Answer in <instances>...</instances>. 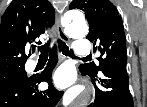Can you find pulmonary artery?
<instances>
[{"instance_id":"pulmonary-artery-1","label":"pulmonary artery","mask_w":147,"mask_h":107,"mask_svg":"<svg viewBox=\"0 0 147 107\" xmlns=\"http://www.w3.org/2000/svg\"><path fill=\"white\" fill-rule=\"evenodd\" d=\"M73 50L75 54L78 55H88L91 53L92 47L91 45L85 40H76L73 45ZM29 68H34L35 63L34 61H29L28 63Z\"/></svg>"}]
</instances>
